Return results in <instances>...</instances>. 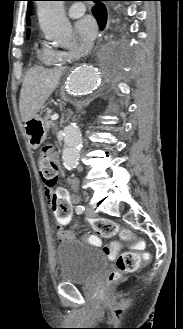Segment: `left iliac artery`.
Masks as SVG:
<instances>
[{"mask_svg": "<svg viewBox=\"0 0 183 329\" xmlns=\"http://www.w3.org/2000/svg\"><path fill=\"white\" fill-rule=\"evenodd\" d=\"M85 208L82 205H78L76 208V213L77 214H82L84 212Z\"/></svg>", "mask_w": 183, "mask_h": 329, "instance_id": "left-iliac-artery-1", "label": "left iliac artery"}]
</instances>
